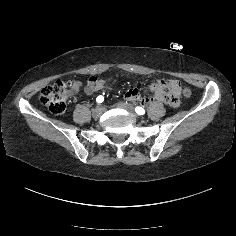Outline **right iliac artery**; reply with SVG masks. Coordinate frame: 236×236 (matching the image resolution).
<instances>
[{
    "instance_id": "obj_1",
    "label": "right iliac artery",
    "mask_w": 236,
    "mask_h": 236,
    "mask_svg": "<svg viewBox=\"0 0 236 236\" xmlns=\"http://www.w3.org/2000/svg\"><path fill=\"white\" fill-rule=\"evenodd\" d=\"M96 101L98 102V103H102L103 101H104V97L103 96H98L97 98H96Z\"/></svg>"
}]
</instances>
